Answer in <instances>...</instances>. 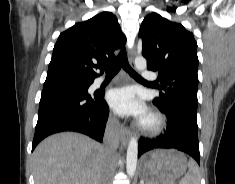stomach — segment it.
<instances>
[{
  "label": "stomach",
  "mask_w": 235,
  "mask_h": 184,
  "mask_svg": "<svg viewBox=\"0 0 235 184\" xmlns=\"http://www.w3.org/2000/svg\"><path fill=\"white\" fill-rule=\"evenodd\" d=\"M141 160L140 176L147 184H175L187 168L186 156L177 150H153Z\"/></svg>",
  "instance_id": "stomach-1"
}]
</instances>
